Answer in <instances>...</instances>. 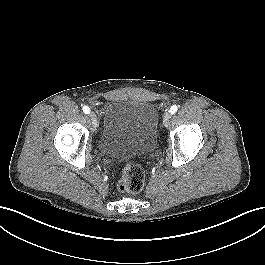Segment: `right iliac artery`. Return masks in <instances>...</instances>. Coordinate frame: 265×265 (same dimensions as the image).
Wrapping results in <instances>:
<instances>
[{
	"label": "right iliac artery",
	"mask_w": 265,
	"mask_h": 265,
	"mask_svg": "<svg viewBox=\"0 0 265 265\" xmlns=\"http://www.w3.org/2000/svg\"><path fill=\"white\" fill-rule=\"evenodd\" d=\"M83 112H84L85 114H89V113H90V108H89L88 106H84V107H83Z\"/></svg>",
	"instance_id": "82829eb1"
}]
</instances>
